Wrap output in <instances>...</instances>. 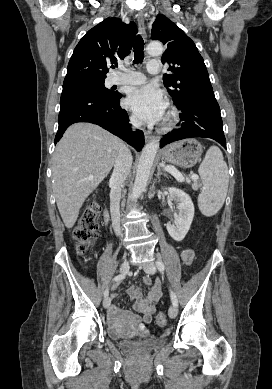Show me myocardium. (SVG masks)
<instances>
[{
	"label": "myocardium",
	"instance_id": "f54148a6",
	"mask_svg": "<svg viewBox=\"0 0 272 389\" xmlns=\"http://www.w3.org/2000/svg\"><path fill=\"white\" fill-rule=\"evenodd\" d=\"M176 120H177V114L174 111H170L165 118L163 124L164 128L168 129L172 127L175 124Z\"/></svg>",
	"mask_w": 272,
	"mask_h": 389
}]
</instances>
